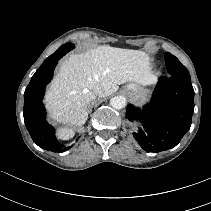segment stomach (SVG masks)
Wrapping results in <instances>:
<instances>
[{"label": "stomach", "instance_id": "obj_1", "mask_svg": "<svg viewBox=\"0 0 211 211\" xmlns=\"http://www.w3.org/2000/svg\"><path fill=\"white\" fill-rule=\"evenodd\" d=\"M123 92L124 94L128 95L132 100L138 103H143L147 100L149 91L138 84L130 83L123 88Z\"/></svg>", "mask_w": 211, "mask_h": 211}]
</instances>
